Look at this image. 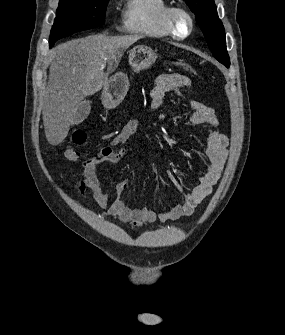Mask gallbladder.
<instances>
[{
	"label": "gallbladder",
	"instance_id": "bac80fb5",
	"mask_svg": "<svg viewBox=\"0 0 285 335\" xmlns=\"http://www.w3.org/2000/svg\"><path fill=\"white\" fill-rule=\"evenodd\" d=\"M90 110H91V104L89 100H84V102H80L73 116V124H81L83 120H86L87 116H89L90 114Z\"/></svg>",
	"mask_w": 285,
	"mask_h": 335
}]
</instances>
